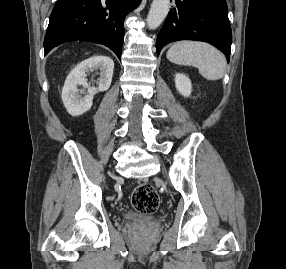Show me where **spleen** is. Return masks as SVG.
<instances>
[{"mask_svg":"<svg viewBox=\"0 0 286 269\" xmlns=\"http://www.w3.org/2000/svg\"><path fill=\"white\" fill-rule=\"evenodd\" d=\"M166 56L175 64L198 68L200 74L207 80L221 79L225 73V56L204 42H177L169 48Z\"/></svg>","mask_w":286,"mask_h":269,"instance_id":"1","label":"spleen"}]
</instances>
